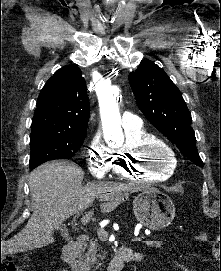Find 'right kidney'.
I'll use <instances>...</instances> for the list:
<instances>
[{"label":"right kidney","instance_id":"obj_1","mask_svg":"<svg viewBox=\"0 0 221 271\" xmlns=\"http://www.w3.org/2000/svg\"><path fill=\"white\" fill-rule=\"evenodd\" d=\"M63 271H67V269H63Z\"/></svg>","mask_w":221,"mask_h":271}]
</instances>
